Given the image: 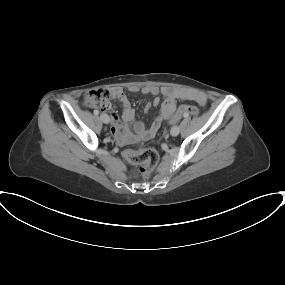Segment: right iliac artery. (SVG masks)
<instances>
[{
	"instance_id": "1",
	"label": "right iliac artery",
	"mask_w": 285,
	"mask_h": 285,
	"mask_svg": "<svg viewBox=\"0 0 285 285\" xmlns=\"http://www.w3.org/2000/svg\"><path fill=\"white\" fill-rule=\"evenodd\" d=\"M94 114H95V115H98V114H99V111H98V110H94Z\"/></svg>"
}]
</instances>
